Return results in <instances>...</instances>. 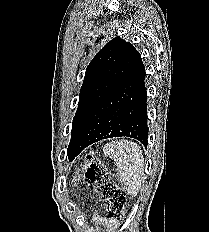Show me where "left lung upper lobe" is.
<instances>
[{
    "instance_id": "5c2ea615",
    "label": "left lung upper lobe",
    "mask_w": 209,
    "mask_h": 232,
    "mask_svg": "<svg viewBox=\"0 0 209 232\" xmlns=\"http://www.w3.org/2000/svg\"><path fill=\"white\" fill-rule=\"evenodd\" d=\"M137 54L138 51L132 44L120 37H115L95 55L86 68L71 136L74 135L86 115L96 105L107 99L124 80Z\"/></svg>"
}]
</instances>
